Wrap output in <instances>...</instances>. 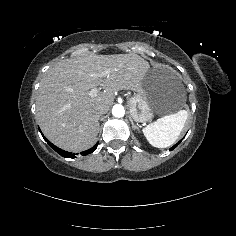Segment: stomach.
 <instances>
[{"mask_svg": "<svg viewBox=\"0 0 236 236\" xmlns=\"http://www.w3.org/2000/svg\"><path fill=\"white\" fill-rule=\"evenodd\" d=\"M185 103L186 92L181 80L163 68L149 69L128 100L130 116L139 123L151 121L154 114L172 115Z\"/></svg>", "mask_w": 236, "mask_h": 236, "instance_id": "stomach-1", "label": "stomach"}]
</instances>
